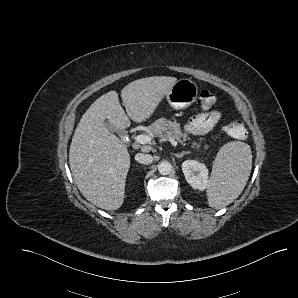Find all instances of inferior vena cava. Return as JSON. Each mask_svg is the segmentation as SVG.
Returning <instances> with one entry per match:
<instances>
[{"mask_svg": "<svg viewBox=\"0 0 298 298\" xmlns=\"http://www.w3.org/2000/svg\"><path fill=\"white\" fill-rule=\"evenodd\" d=\"M135 160L138 163L148 165V164H151L153 162V157L150 154L137 153L135 155Z\"/></svg>", "mask_w": 298, "mask_h": 298, "instance_id": "602c4592", "label": "inferior vena cava"}]
</instances>
